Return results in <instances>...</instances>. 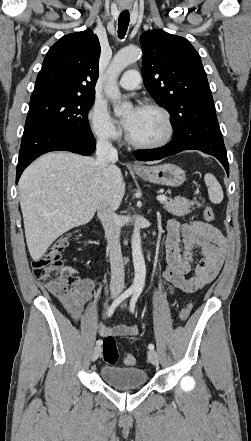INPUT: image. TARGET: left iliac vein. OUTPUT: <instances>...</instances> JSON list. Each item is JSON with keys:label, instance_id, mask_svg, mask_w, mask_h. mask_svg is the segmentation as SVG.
Wrapping results in <instances>:
<instances>
[{"label": "left iliac vein", "instance_id": "1", "mask_svg": "<svg viewBox=\"0 0 251 441\" xmlns=\"http://www.w3.org/2000/svg\"><path fill=\"white\" fill-rule=\"evenodd\" d=\"M147 356L153 365L157 366L159 364V355L155 350H149Z\"/></svg>", "mask_w": 251, "mask_h": 441}]
</instances>
